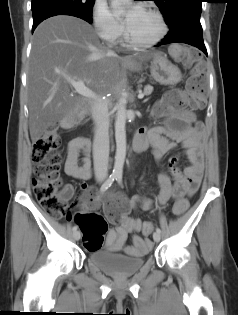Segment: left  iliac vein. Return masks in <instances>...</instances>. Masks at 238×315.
Wrapping results in <instances>:
<instances>
[{
    "mask_svg": "<svg viewBox=\"0 0 238 315\" xmlns=\"http://www.w3.org/2000/svg\"><path fill=\"white\" fill-rule=\"evenodd\" d=\"M160 239H161L160 233L154 232V234H153V240H154L155 242H159Z\"/></svg>",
    "mask_w": 238,
    "mask_h": 315,
    "instance_id": "left-iliac-vein-1",
    "label": "left iliac vein"
}]
</instances>
